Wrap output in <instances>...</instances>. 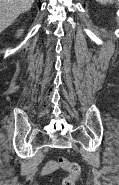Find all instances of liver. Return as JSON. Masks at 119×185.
Segmentation results:
<instances>
[{
	"label": "liver",
	"instance_id": "obj_1",
	"mask_svg": "<svg viewBox=\"0 0 119 185\" xmlns=\"http://www.w3.org/2000/svg\"><path fill=\"white\" fill-rule=\"evenodd\" d=\"M35 0H0V33L13 24L16 18L29 11Z\"/></svg>",
	"mask_w": 119,
	"mask_h": 185
}]
</instances>
